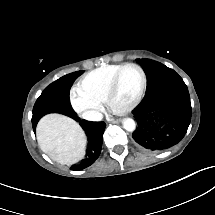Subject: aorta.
Masks as SVG:
<instances>
[{
    "mask_svg": "<svg viewBox=\"0 0 215 215\" xmlns=\"http://www.w3.org/2000/svg\"><path fill=\"white\" fill-rule=\"evenodd\" d=\"M122 125L127 131H134L135 121L132 118H123Z\"/></svg>",
    "mask_w": 215,
    "mask_h": 215,
    "instance_id": "obj_1",
    "label": "aorta"
}]
</instances>
